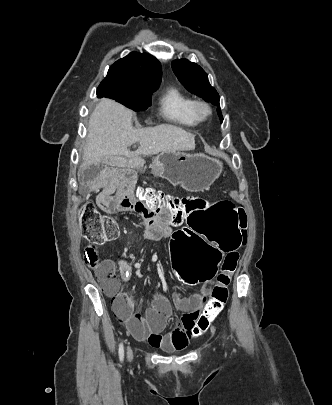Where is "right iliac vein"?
<instances>
[{
	"instance_id": "1",
	"label": "right iliac vein",
	"mask_w": 332,
	"mask_h": 405,
	"mask_svg": "<svg viewBox=\"0 0 332 405\" xmlns=\"http://www.w3.org/2000/svg\"><path fill=\"white\" fill-rule=\"evenodd\" d=\"M127 358H128V360H132V358H133V352L130 348H128V350H127Z\"/></svg>"
}]
</instances>
